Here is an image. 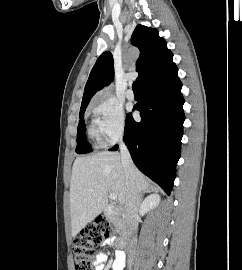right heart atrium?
Listing matches in <instances>:
<instances>
[{"label": "right heart atrium", "instance_id": "obj_1", "mask_svg": "<svg viewBox=\"0 0 242 270\" xmlns=\"http://www.w3.org/2000/svg\"><path fill=\"white\" fill-rule=\"evenodd\" d=\"M92 112L103 143L113 144L123 137L126 128L124 111L113 98L102 94L94 101Z\"/></svg>", "mask_w": 242, "mask_h": 270}]
</instances>
